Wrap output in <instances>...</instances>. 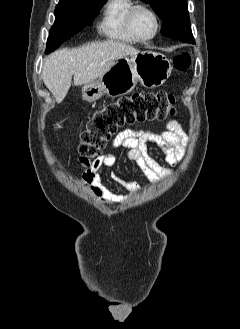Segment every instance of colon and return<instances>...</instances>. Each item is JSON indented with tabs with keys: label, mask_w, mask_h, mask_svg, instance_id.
<instances>
[{
	"label": "colon",
	"mask_w": 240,
	"mask_h": 329,
	"mask_svg": "<svg viewBox=\"0 0 240 329\" xmlns=\"http://www.w3.org/2000/svg\"><path fill=\"white\" fill-rule=\"evenodd\" d=\"M190 64L188 53H180L173 58V65L177 70H187ZM173 105L174 97L171 93L154 91L123 97L96 111L81 135L78 147L81 163L90 165L120 128L165 119L174 113Z\"/></svg>",
	"instance_id": "colon-1"
}]
</instances>
